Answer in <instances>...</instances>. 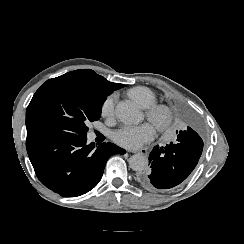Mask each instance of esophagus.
<instances>
[{"label":"esophagus","instance_id":"esophagus-1","mask_svg":"<svg viewBox=\"0 0 244 244\" xmlns=\"http://www.w3.org/2000/svg\"><path fill=\"white\" fill-rule=\"evenodd\" d=\"M132 153H135V154H140V155H143L145 157H147L148 155V150L146 148H141V149H137V150H132L131 151Z\"/></svg>","mask_w":244,"mask_h":244}]
</instances>
